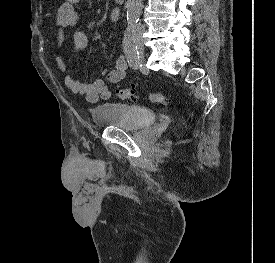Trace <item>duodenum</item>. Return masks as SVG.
I'll return each instance as SVG.
<instances>
[{"mask_svg": "<svg viewBox=\"0 0 275 263\" xmlns=\"http://www.w3.org/2000/svg\"><path fill=\"white\" fill-rule=\"evenodd\" d=\"M115 2L119 5H122L125 3V0H115Z\"/></svg>", "mask_w": 275, "mask_h": 263, "instance_id": "duodenum-1", "label": "duodenum"}]
</instances>
